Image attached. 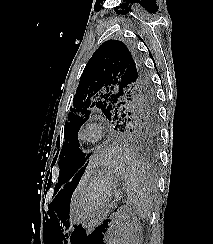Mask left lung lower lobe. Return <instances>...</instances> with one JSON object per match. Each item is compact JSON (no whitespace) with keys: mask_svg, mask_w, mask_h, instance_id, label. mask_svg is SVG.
<instances>
[{"mask_svg":"<svg viewBox=\"0 0 213 244\" xmlns=\"http://www.w3.org/2000/svg\"><path fill=\"white\" fill-rule=\"evenodd\" d=\"M114 129L116 131L130 133L132 135V137L139 139L137 136H135L131 133V130H127V127L124 128L123 124H121V123L118 124L117 127L115 125ZM156 138L152 139V140H145V142H147V144L150 146H154L156 144ZM90 155L91 154H85L82 152L79 154L75 167H74V170H73V178L70 183H75V185H76L79 182L82 174L84 173V169H85L86 165L88 164L87 160L90 157Z\"/></svg>","mask_w":213,"mask_h":244,"instance_id":"left-lung-lower-lobe-1","label":"left lung lower lobe"}]
</instances>
